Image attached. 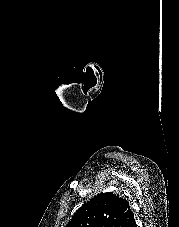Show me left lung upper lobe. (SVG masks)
Listing matches in <instances>:
<instances>
[{
	"label": "left lung upper lobe",
	"mask_w": 179,
	"mask_h": 227,
	"mask_svg": "<svg viewBox=\"0 0 179 227\" xmlns=\"http://www.w3.org/2000/svg\"><path fill=\"white\" fill-rule=\"evenodd\" d=\"M129 203L113 193H101L82 205L66 227H135Z\"/></svg>",
	"instance_id": "5c2ea615"
}]
</instances>
